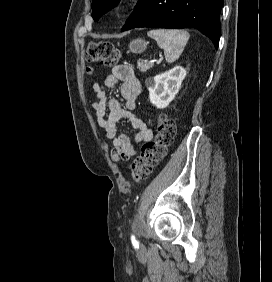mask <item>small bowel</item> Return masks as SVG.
Masks as SVG:
<instances>
[{"label":"small bowel","mask_w":272,"mask_h":282,"mask_svg":"<svg viewBox=\"0 0 272 282\" xmlns=\"http://www.w3.org/2000/svg\"><path fill=\"white\" fill-rule=\"evenodd\" d=\"M118 85L125 100L124 106L107 95V92L114 90ZM93 91L97 98L92 104L93 114L97 124L104 129L105 136L112 140L110 156L113 160L130 158L135 153V145L152 140L153 130L133 113L136 99L141 93V85L129 65L114 66L102 83L93 84ZM121 119L128 120L137 130L133 140L118 129L117 124Z\"/></svg>","instance_id":"small-bowel-1"}]
</instances>
